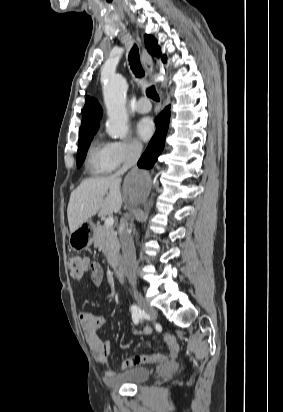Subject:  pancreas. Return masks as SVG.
Returning <instances> with one entry per match:
<instances>
[{
	"label": "pancreas",
	"instance_id": "1",
	"mask_svg": "<svg viewBox=\"0 0 283 412\" xmlns=\"http://www.w3.org/2000/svg\"><path fill=\"white\" fill-rule=\"evenodd\" d=\"M94 245L102 250L108 263L114 266L120 250L116 231L112 227L97 225L94 229Z\"/></svg>",
	"mask_w": 283,
	"mask_h": 412
}]
</instances>
